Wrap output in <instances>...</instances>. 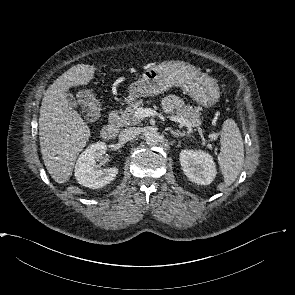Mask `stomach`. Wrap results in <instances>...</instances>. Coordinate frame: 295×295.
Wrapping results in <instances>:
<instances>
[{"label":"stomach","mask_w":295,"mask_h":295,"mask_svg":"<svg viewBox=\"0 0 295 295\" xmlns=\"http://www.w3.org/2000/svg\"><path fill=\"white\" fill-rule=\"evenodd\" d=\"M174 86L203 107L212 106L220 97L216 80L197 67L183 61H165L146 69L142 78L130 85L128 101L158 95Z\"/></svg>","instance_id":"0dacf381"}]
</instances>
